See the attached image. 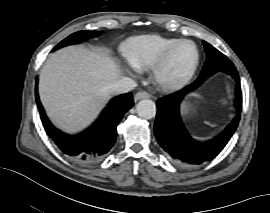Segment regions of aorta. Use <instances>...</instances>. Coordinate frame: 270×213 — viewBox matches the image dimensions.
<instances>
[{
  "mask_svg": "<svg viewBox=\"0 0 270 213\" xmlns=\"http://www.w3.org/2000/svg\"><path fill=\"white\" fill-rule=\"evenodd\" d=\"M137 113L144 119H151L156 115V105L150 99H143L137 104Z\"/></svg>",
  "mask_w": 270,
  "mask_h": 213,
  "instance_id": "1",
  "label": "aorta"
}]
</instances>
